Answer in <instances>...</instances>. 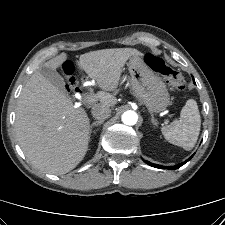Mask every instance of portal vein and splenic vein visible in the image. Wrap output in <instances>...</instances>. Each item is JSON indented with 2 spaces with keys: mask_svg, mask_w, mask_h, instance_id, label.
Returning <instances> with one entry per match:
<instances>
[{
  "mask_svg": "<svg viewBox=\"0 0 225 225\" xmlns=\"http://www.w3.org/2000/svg\"><path fill=\"white\" fill-rule=\"evenodd\" d=\"M85 101L86 102H93V101H95V96H94V98H93V96H86Z\"/></svg>",
  "mask_w": 225,
  "mask_h": 225,
  "instance_id": "18ae733b",
  "label": "portal vein and splenic vein"
}]
</instances>
